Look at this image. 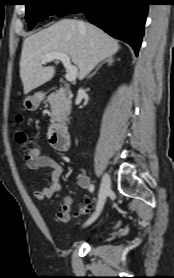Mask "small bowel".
Returning <instances> with one entry per match:
<instances>
[{
    "label": "small bowel",
    "mask_w": 174,
    "mask_h": 278,
    "mask_svg": "<svg viewBox=\"0 0 174 278\" xmlns=\"http://www.w3.org/2000/svg\"><path fill=\"white\" fill-rule=\"evenodd\" d=\"M25 167L29 170H37L41 168H50L52 170L51 184L48 187H45L40 190H35L33 192V197L37 201H43L46 198H51L59 192L61 187L60 178L62 176L63 169L56 160H54L50 156L42 155L39 153V155L36 158L29 161H25ZM76 182L81 189L90 191L92 183L88 175H78ZM72 205V198L70 196H66L63 200V206L61 210L57 213V220L60 223H66L70 220Z\"/></svg>",
    "instance_id": "c3829d8e"
}]
</instances>
